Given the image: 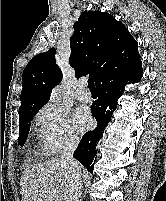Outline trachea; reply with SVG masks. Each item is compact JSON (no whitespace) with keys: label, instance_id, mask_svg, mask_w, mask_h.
<instances>
[{"label":"trachea","instance_id":"trachea-1","mask_svg":"<svg viewBox=\"0 0 166 201\" xmlns=\"http://www.w3.org/2000/svg\"><path fill=\"white\" fill-rule=\"evenodd\" d=\"M88 88L90 90H95V85L91 79L88 80Z\"/></svg>","mask_w":166,"mask_h":201}]
</instances>
